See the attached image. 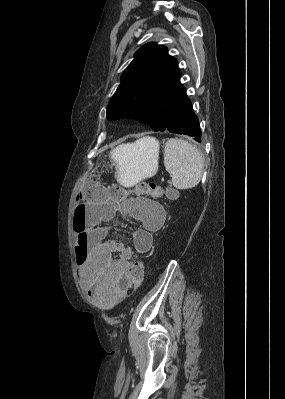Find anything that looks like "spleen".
<instances>
[{
	"label": "spleen",
	"mask_w": 285,
	"mask_h": 399,
	"mask_svg": "<svg viewBox=\"0 0 285 399\" xmlns=\"http://www.w3.org/2000/svg\"><path fill=\"white\" fill-rule=\"evenodd\" d=\"M164 166L177 189L197 186L203 173V159L199 150L188 141L178 138H170L166 142Z\"/></svg>",
	"instance_id": "spleen-1"
}]
</instances>
